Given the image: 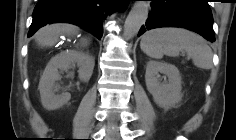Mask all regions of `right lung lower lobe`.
<instances>
[{"mask_svg":"<svg viewBox=\"0 0 236 140\" xmlns=\"http://www.w3.org/2000/svg\"><path fill=\"white\" fill-rule=\"evenodd\" d=\"M127 3L128 0H39L33 12L28 37L46 24L67 22L101 39L102 21L114 11L124 9Z\"/></svg>","mask_w":236,"mask_h":140,"instance_id":"1","label":"right lung lower lobe"}]
</instances>
